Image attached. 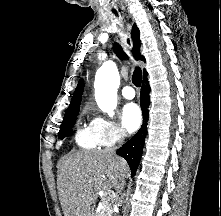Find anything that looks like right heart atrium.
<instances>
[{"instance_id":"d8ad5b80","label":"right heart atrium","mask_w":221,"mask_h":216,"mask_svg":"<svg viewBox=\"0 0 221 216\" xmlns=\"http://www.w3.org/2000/svg\"><path fill=\"white\" fill-rule=\"evenodd\" d=\"M92 135L101 147H112L122 142L126 133L121 125L115 120L97 115L90 124Z\"/></svg>"}]
</instances>
